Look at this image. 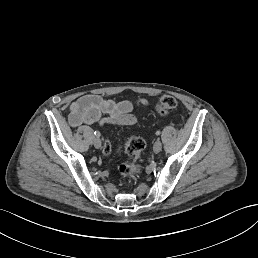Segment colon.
<instances>
[{"label":"colon","instance_id":"1","mask_svg":"<svg viewBox=\"0 0 258 258\" xmlns=\"http://www.w3.org/2000/svg\"><path fill=\"white\" fill-rule=\"evenodd\" d=\"M177 102L174 97L170 95L162 96L155 105V110L158 115L166 116L174 108ZM145 147L144 140L139 136H132L125 144V152L129 155L130 160L119 166V173L125 178H135L141 171L142 167L139 164V158L142 150ZM103 153L109 155L112 153V146L109 141H105L103 145Z\"/></svg>","mask_w":258,"mask_h":258}]
</instances>
